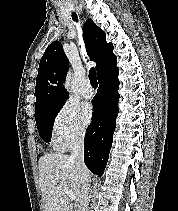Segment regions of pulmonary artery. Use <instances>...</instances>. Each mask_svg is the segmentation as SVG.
Masks as SVG:
<instances>
[{
    "mask_svg": "<svg viewBox=\"0 0 178 211\" xmlns=\"http://www.w3.org/2000/svg\"><path fill=\"white\" fill-rule=\"evenodd\" d=\"M82 94L85 98H92L94 95L93 87L90 81H86L82 88Z\"/></svg>",
    "mask_w": 178,
    "mask_h": 211,
    "instance_id": "1",
    "label": "pulmonary artery"
}]
</instances>
